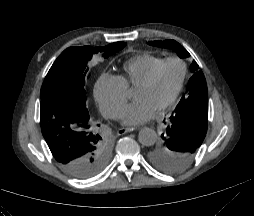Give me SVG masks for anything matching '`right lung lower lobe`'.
<instances>
[{
    "label": "right lung lower lobe",
    "mask_w": 254,
    "mask_h": 216,
    "mask_svg": "<svg viewBox=\"0 0 254 216\" xmlns=\"http://www.w3.org/2000/svg\"><path fill=\"white\" fill-rule=\"evenodd\" d=\"M40 119L53 157L68 174L86 179L99 172L100 141L90 128L86 106L65 95H48L41 99Z\"/></svg>",
    "instance_id": "1"
}]
</instances>
